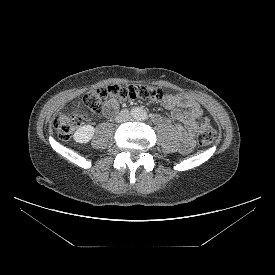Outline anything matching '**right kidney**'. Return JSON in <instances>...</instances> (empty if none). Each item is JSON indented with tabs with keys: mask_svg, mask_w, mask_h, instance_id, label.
<instances>
[{
	"mask_svg": "<svg viewBox=\"0 0 275 275\" xmlns=\"http://www.w3.org/2000/svg\"><path fill=\"white\" fill-rule=\"evenodd\" d=\"M94 132L95 129L93 126L84 125L76 130L74 133V140L81 144L88 143L92 139Z\"/></svg>",
	"mask_w": 275,
	"mask_h": 275,
	"instance_id": "ca27d5eb",
	"label": "right kidney"
}]
</instances>
